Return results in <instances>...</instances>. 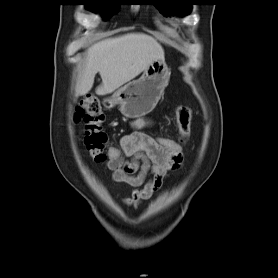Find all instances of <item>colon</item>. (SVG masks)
I'll list each match as a JSON object with an SVG mask.
<instances>
[{"label": "colon", "instance_id": "1", "mask_svg": "<svg viewBox=\"0 0 278 278\" xmlns=\"http://www.w3.org/2000/svg\"><path fill=\"white\" fill-rule=\"evenodd\" d=\"M176 119L179 127V137L177 139L159 137L156 140L167 151L176 155H183L190 134L191 110L185 106L179 107L176 112ZM75 120H82L85 123L84 141L95 161L106 162L121 156L119 146L106 147L107 135L102 127L104 113L97 98L90 96L82 99L76 107Z\"/></svg>", "mask_w": 278, "mask_h": 278}]
</instances>
